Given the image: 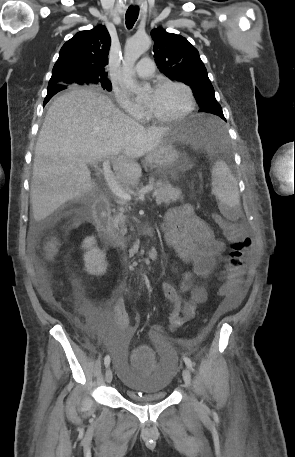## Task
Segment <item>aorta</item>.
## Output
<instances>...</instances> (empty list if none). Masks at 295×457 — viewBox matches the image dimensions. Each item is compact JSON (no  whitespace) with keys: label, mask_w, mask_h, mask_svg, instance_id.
Here are the masks:
<instances>
[{"label":"aorta","mask_w":295,"mask_h":457,"mask_svg":"<svg viewBox=\"0 0 295 457\" xmlns=\"http://www.w3.org/2000/svg\"><path fill=\"white\" fill-rule=\"evenodd\" d=\"M151 44L147 35H134L127 40L124 50L123 83L129 92L140 95L142 88L133 79V67L140 56L149 49ZM146 278V276H144Z\"/></svg>","instance_id":"aorta-1"}]
</instances>
